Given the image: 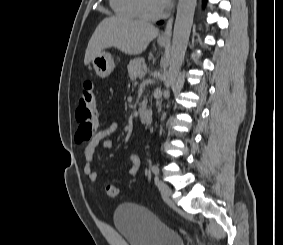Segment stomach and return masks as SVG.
Masks as SVG:
<instances>
[{"instance_id":"0dacf381","label":"stomach","mask_w":283,"mask_h":245,"mask_svg":"<svg viewBox=\"0 0 283 245\" xmlns=\"http://www.w3.org/2000/svg\"><path fill=\"white\" fill-rule=\"evenodd\" d=\"M161 46H164L165 43H160ZM92 64L96 74L105 78L109 76L115 68L114 60L110 53L102 51L92 60Z\"/></svg>"}]
</instances>
